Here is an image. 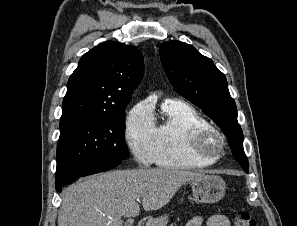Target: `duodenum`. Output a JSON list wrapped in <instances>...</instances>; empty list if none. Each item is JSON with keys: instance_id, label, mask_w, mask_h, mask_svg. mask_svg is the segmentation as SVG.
Masks as SVG:
<instances>
[{"instance_id": "1", "label": "duodenum", "mask_w": 297, "mask_h": 226, "mask_svg": "<svg viewBox=\"0 0 297 226\" xmlns=\"http://www.w3.org/2000/svg\"><path fill=\"white\" fill-rule=\"evenodd\" d=\"M151 220H142L138 223L137 226H150Z\"/></svg>"}]
</instances>
